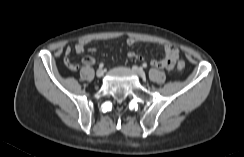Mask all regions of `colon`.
Listing matches in <instances>:
<instances>
[{"label":"colon","mask_w":244,"mask_h":157,"mask_svg":"<svg viewBox=\"0 0 244 157\" xmlns=\"http://www.w3.org/2000/svg\"><path fill=\"white\" fill-rule=\"evenodd\" d=\"M185 68V62L184 61H179L177 63V69L178 70H183Z\"/></svg>","instance_id":"1"}]
</instances>
